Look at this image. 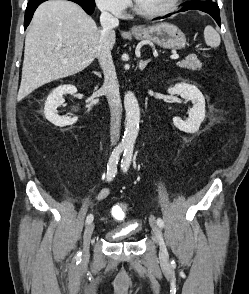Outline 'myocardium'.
Segmentation results:
<instances>
[{
    "label": "myocardium",
    "mask_w": 249,
    "mask_h": 294,
    "mask_svg": "<svg viewBox=\"0 0 249 294\" xmlns=\"http://www.w3.org/2000/svg\"><path fill=\"white\" fill-rule=\"evenodd\" d=\"M183 0H174L172 5L166 9L159 10V11H150L142 8L137 0H132L133 8L134 10L139 14L147 18H156V17H162L168 14L173 13L178 9L180 4Z\"/></svg>",
    "instance_id": "1"
}]
</instances>
